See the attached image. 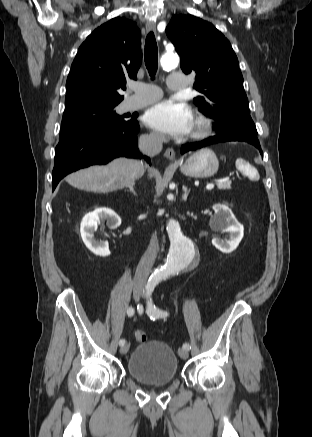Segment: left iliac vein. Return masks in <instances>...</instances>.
<instances>
[{
    "label": "left iliac vein",
    "mask_w": 312,
    "mask_h": 437,
    "mask_svg": "<svg viewBox=\"0 0 312 437\" xmlns=\"http://www.w3.org/2000/svg\"><path fill=\"white\" fill-rule=\"evenodd\" d=\"M178 354H179L180 358H182V359H187L188 358V350L187 349L180 348L178 350Z\"/></svg>",
    "instance_id": "4c4485c4"
}]
</instances>
